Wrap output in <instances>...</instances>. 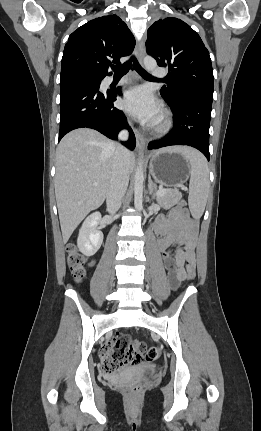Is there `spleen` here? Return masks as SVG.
Returning <instances> with one entry per match:
<instances>
[{"mask_svg": "<svg viewBox=\"0 0 261 431\" xmlns=\"http://www.w3.org/2000/svg\"><path fill=\"white\" fill-rule=\"evenodd\" d=\"M182 155L190 164V194L188 198L191 213L200 217L206 206L209 192V170L204 156L190 147H170L163 149Z\"/></svg>", "mask_w": 261, "mask_h": 431, "instance_id": "3e777b00", "label": "spleen"}]
</instances>
